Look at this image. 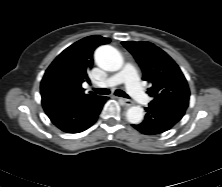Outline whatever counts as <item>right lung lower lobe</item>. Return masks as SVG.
Masks as SVG:
<instances>
[{"instance_id": "98d812e1", "label": "right lung lower lobe", "mask_w": 222, "mask_h": 187, "mask_svg": "<svg viewBox=\"0 0 222 187\" xmlns=\"http://www.w3.org/2000/svg\"><path fill=\"white\" fill-rule=\"evenodd\" d=\"M41 96L51 122L67 133H79L92 126L108 100L105 96L78 99L53 87L41 90Z\"/></svg>"}]
</instances>
